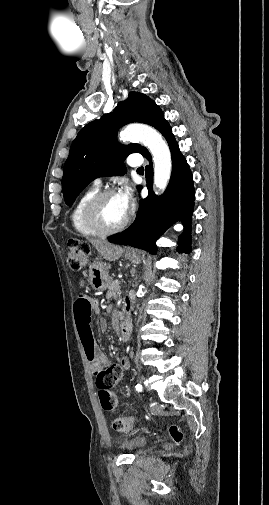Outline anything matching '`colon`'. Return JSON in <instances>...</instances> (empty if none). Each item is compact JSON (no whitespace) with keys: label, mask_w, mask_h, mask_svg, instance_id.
Masks as SVG:
<instances>
[{"label":"colon","mask_w":269,"mask_h":505,"mask_svg":"<svg viewBox=\"0 0 269 505\" xmlns=\"http://www.w3.org/2000/svg\"><path fill=\"white\" fill-rule=\"evenodd\" d=\"M90 251L88 246L72 242L69 245L68 263L73 271H80L88 262ZM119 372L114 367L101 370L96 375V385L99 388V399L104 410L112 411L115 408V398L112 393L113 387L119 380ZM135 417L126 415L113 420V428L120 433H128L135 425ZM170 434L177 442L181 441L183 434L176 425L170 427Z\"/></svg>","instance_id":"obj_1"}]
</instances>
